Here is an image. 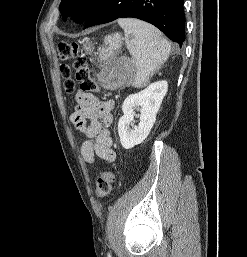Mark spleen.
<instances>
[{"mask_svg": "<svg viewBox=\"0 0 247 257\" xmlns=\"http://www.w3.org/2000/svg\"><path fill=\"white\" fill-rule=\"evenodd\" d=\"M126 46L136 66L133 84L142 87L150 76L164 64L171 51L170 43L153 25L133 18H120Z\"/></svg>", "mask_w": 247, "mask_h": 257, "instance_id": "obj_1", "label": "spleen"}]
</instances>
